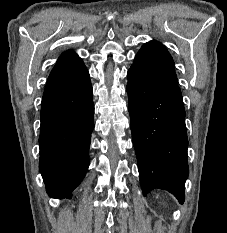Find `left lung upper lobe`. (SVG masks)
Returning <instances> with one entry per match:
<instances>
[{
	"label": "left lung upper lobe",
	"instance_id": "5c2ea615",
	"mask_svg": "<svg viewBox=\"0 0 227 233\" xmlns=\"http://www.w3.org/2000/svg\"><path fill=\"white\" fill-rule=\"evenodd\" d=\"M158 80L178 85L174 61L167 49L157 41L145 43L131 66Z\"/></svg>",
	"mask_w": 227,
	"mask_h": 233
}]
</instances>
